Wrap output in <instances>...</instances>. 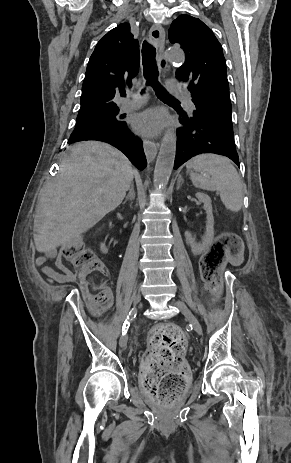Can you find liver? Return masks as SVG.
<instances>
[{
  "label": "liver",
  "mask_w": 291,
  "mask_h": 463,
  "mask_svg": "<svg viewBox=\"0 0 291 463\" xmlns=\"http://www.w3.org/2000/svg\"><path fill=\"white\" fill-rule=\"evenodd\" d=\"M134 178L128 158L99 141L69 148L58 177L42 193L34 219L36 249L54 256L123 201Z\"/></svg>",
  "instance_id": "obj_1"
}]
</instances>
